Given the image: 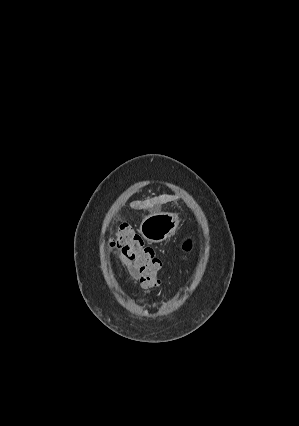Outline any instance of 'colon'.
<instances>
[{"label": "colon", "instance_id": "5ec220e1", "mask_svg": "<svg viewBox=\"0 0 299 426\" xmlns=\"http://www.w3.org/2000/svg\"><path fill=\"white\" fill-rule=\"evenodd\" d=\"M109 243L118 248L138 267L140 272L139 284L146 291H151L160 285L158 276L161 260L156 257L154 250L145 245L142 237L135 233L128 224H122L110 234ZM193 242L186 238L182 243L184 255L192 250Z\"/></svg>", "mask_w": 299, "mask_h": 426}]
</instances>
